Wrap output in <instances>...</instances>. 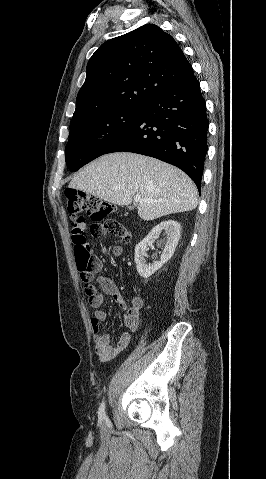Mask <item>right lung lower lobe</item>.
<instances>
[{
  "instance_id": "obj_1",
  "label": "right lung lower lobe",
  "mask_w": 266,
  "mask_h": 479,
  "mask_svg": "<svg viewBox=\"0 0 266 479\" xmlns=\"http://www.w3.org/2000/svg\"><path fill=\"white\" fill-rule=\"evenodd\" d=\"M208 126L206 103L193 75L151 99L104 154L126 151L157 158L183 170L200 190Z\"/></svg>"
}]
</instances>
